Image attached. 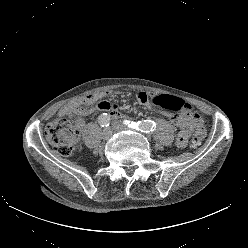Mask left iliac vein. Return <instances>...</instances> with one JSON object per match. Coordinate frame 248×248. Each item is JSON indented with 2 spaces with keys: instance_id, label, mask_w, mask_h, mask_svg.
Listing matches in <instances>:
<instances>
[{
  "instance_id": "left-iliac-vein-1",
  "label": "left iliac vein",
  "mask_w": 248,
  "mask_h": 248,
  "mask_svg": "<svg viewBox=\"0 0 248 248\" xmlns=\"http://www.w3.org/2000/svg\"><path fill=\"white\" fill-rule=\"evenodd\" d=\"M112 127L115 131H123L128 129L122 122L119 121L113 122Z\"/></svg>"
}]
</instances>
